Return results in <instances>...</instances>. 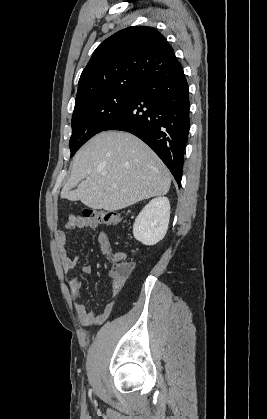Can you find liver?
Masks as SVG:
<instances>
[{"mask_svg":"<svg viewBox=\"0 0 267 419\" xmlns=\"http://www.w3.org/2000/svg\"><path fill=\"white\" fill-rule=\"evenodd\" d=\"M170 184L169 170L143 141L127 132L108 131L94 136L75 155L61 198L116 211L165 195Z\"/></svg>","mask_w":267,"mask_h":419,"instance_id":"1","label":"liver"}]
</instances>
